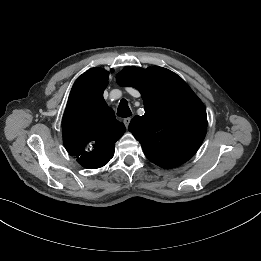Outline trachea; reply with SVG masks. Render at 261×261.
I'll list each match as a JSON object with an SVG mask.
<instances>
[{
  "label": "trachea",
  "instance_id": "trachea-1",
  "mask_svg": "<svg viewBox=\"0 0 261 261\" xmlns=\"http://www.w3.org/2000/svg\"><path fill=\"white\" fill-rule=\"evenodd\" d=\"M117 115L119 117H123V118L129 117L132 115L128 102L125 99H122L120 101L118 110H117Z\"/></svg>",
  "mask_w": 261,
  "mask_h": 261
}]
</instances>
